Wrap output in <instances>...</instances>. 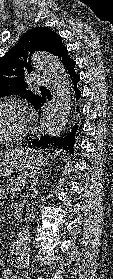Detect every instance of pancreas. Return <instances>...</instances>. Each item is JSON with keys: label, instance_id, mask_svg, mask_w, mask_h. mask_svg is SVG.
I'll use <instances>...</instances> for the list:
<instances>
[{"label": "pancreas", "instance_id": "cf45deb5", "mask_svg": "<svg viewBox=\"0 0 113 279\" xmlns=\"http://www.w3.org/2000/svg\"><path fill=\"white\" fill-rule=\"evenodd\" d=\"M32 173L23 172L15 178L10 179V184L7 187V193L15 194L16 192L21 191L27 181L30 179Z\"/></svg>", "mask_w": 113, "mask_h": 279}]
</instances>
